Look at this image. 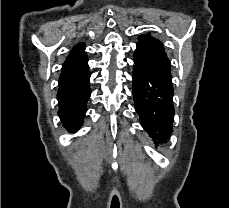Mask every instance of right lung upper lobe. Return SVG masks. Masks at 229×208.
Masks as SVG:
<instances>
[{"label":"right lung upper lobe","mask_w":229,"mask_h":208,"mask_svg":"<svg viewBox=\"0 0 229 208\" xmlns=\"http://www.w3.org/2000/svg\"><path fill=\"white\" fill-rule=\"evenodd\" d=\"M84 49L85 44L79 43L70 52L66 61L63 63L59 84L77 77L86 71L88 65L87 55L85 52H83Z\"/></svg>","instance_id":"cb5924a9"}]
</instances>
